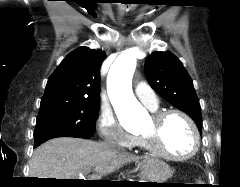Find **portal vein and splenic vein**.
<instances>
[{"label": "portal vein and splenic vein", "instance_id": "obj_1", "mask_svg": "<svg viewBox=\"0 0 240 187\" xmlns=\"http://www.w3.org/2000/svg\"><path fill=\"white\" fill-rule=\"evenodd\" d=\"M87 173H88V172H87ZM92 177H94L95 180H99V179H100L99 176H95V175H93Z\"/></svg>", "mask_w": 240, "mask_h": 187}]
</instances>
